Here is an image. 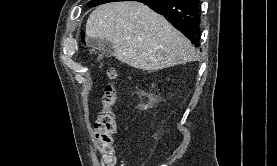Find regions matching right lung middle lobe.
I'll return each instance as SVG.
<instances>
[{"mask_svg":"<svg viewBox=\"0 0 277 166\" xmlns=\"http://www.w3.org/2000/svg\"><path fill=\"white\" fill-rule=\"evenodd\" d=\"M112 0H91L87 6L88 7H95L97 5H101V4H104V3H108V2H111Z\"/></svg>","mask_w":277,"mask_h":166,"instance_id":"obj_1","label":"right lung middle lobe"}]
</instances>
